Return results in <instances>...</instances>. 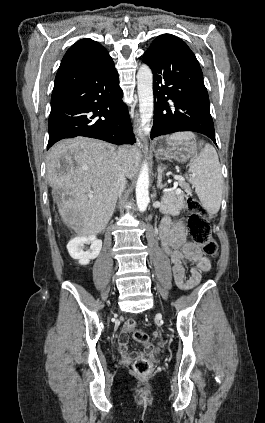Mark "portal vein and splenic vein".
<instances>
[{
	"mask_svg": "<svg viewBox=\"0 0 265 423\" xmlns=\"http://www.w3.org/2000/svg\"><path fill=\"white\" fill-rule=\"evenodd\" d=\"M180 180L184 181V179H183V178H180ZM176 191H177L178 193H180V192H181V190H180V189H177Z\"/></svg>",
	"mask_w": 265,
	"mask_h": 423,
	"instance_id": "obj_1",
	"label": "portal vein and splenic vein"
}]
</instances>
